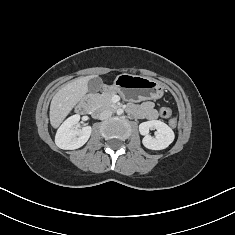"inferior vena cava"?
<instances>
[{
  "label": "inferior vena cava",
  "instance_id": "inferior-vena-cava-1",
  "mask_svg": "<svg viewBox=\"0 0 235 235\" xmlns=\"http://www.w3.org/2000/svg\"><path fill=\"white\" fill-rule=\"evenodd\" d=\"M111 116H112V111L109 110V109H105V110H103V111L100 113L99 119H100V120H105V119H107V118H109V117H111Z\"/></svg>",
  "mask_w": 235,
  "mask_h": 235
}]
</instances>
